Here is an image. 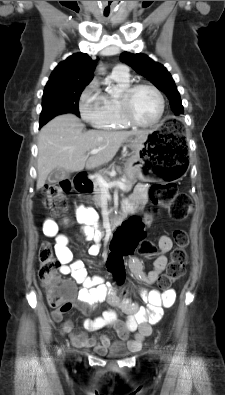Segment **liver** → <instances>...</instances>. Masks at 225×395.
<instances>
[{
  "instance_id": "liver-1",
  "label": "liver",
  "mask_w": 225,
  "mask_h": 395,
  "mask_svg": "<svg viewBox=\"0 0 225 395\" xmlns=\"http://www.w3.org/2000/svg\"><path fill=\"white\" fill-rule=\"evenodd\" d=\"M84 124L73 114H64L49 121L38 136L37 189L45 184L55 169L77 172L96 168L110 162L122 144L132 136L145 140L152 131H98L83 132ZM101 148L97 154L87 153Z\"/></svg>"
}]
</instances>
